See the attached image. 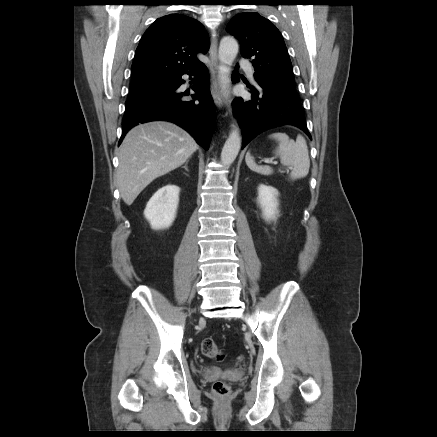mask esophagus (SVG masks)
I'll return each instance as SVG.
<instances>
[{
    "label": "esophagus",
    "instance_id": "obj_1",
    "mask_svg": "<svg viewBox=\"0 0 437 437\" xmlns=\"http://www.w3.org/2000/svg\"><path fill=\"white\" fill-rule=\"evenodd\" d=\"M209 57H210V75H211V94L215 104L218 107H222L223 99H222V94H221L219 80H218V67H219L218 42L215 35H212L211 37Z\"/></svg>",
    "mask_w": 437,
    "mask_h": 437
}]
</instances>
